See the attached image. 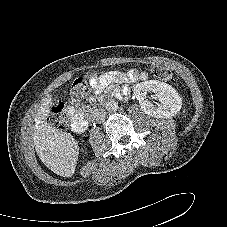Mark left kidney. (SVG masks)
I'll use <instances>...</instances> for the list:
<instances>
[{
  "mask_svg": "<svg viewBox=\"0 0 227 227\" xmlns=\"http://www.w3.org/2000/svg\"><path fill=\"white\" fill-rule=\"evenodd\" d=\"M153 92L160 104L157 106L146 99V93ZM134 95L138 98L141 109L155 118L175 116L181 109L182 99L172 86L158 81L149 80L136 84Z\"/></svg>",
  "mask_w": 227,
  "mask_h": 227,
  "instance_id": "left-kidney-1",
  "label": "left kidney"
}]
</instances>
